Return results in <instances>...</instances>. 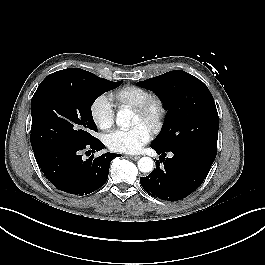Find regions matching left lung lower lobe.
Returning a JSON list of instances; mask_svg holds the SVG:
<instances>
[{
	"label": "left lung lower lobe",
	"mask_w": 265,
	"mask_h": 265,
	"mask_svg": "<svg viewBox=\"0 0 265 265\" xmlns=\"http://www.w3.org/2000/svg\"><path fill=\"white\" fill-rule=\"evenodd\" d=\"M151 148L161 154L164 167L160 168L156 161V169L147 177H141L140 183L149 195L167 201L180 200L194 192L206 178L216 157L193 147ZM166 152H171L173 157L165 158Z\"/></svg>",
	"instance_id": "0a47b994"
}]
</instances>
